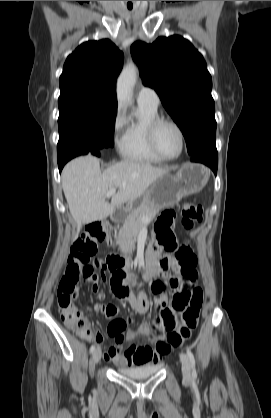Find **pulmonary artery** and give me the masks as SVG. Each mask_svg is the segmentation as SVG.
Segmentation results:
<instances>
[{
    "mask_svg": "<svg viewBox=\"0 0 271 418\" xmlns=\"http://www.w3.org/2000/svg\"><path fill=\"white\" fill-rule=\"evenodd\" d=\"M138 104H146L157 108L160 99L156 91L150 87H142L137 94Z\"/></svg>",
    "mask_w": 271,
    "mask_h": 418,
    "instance_id": "obj_1",
    "label": "pulmonary artery"
}]
</instances>
